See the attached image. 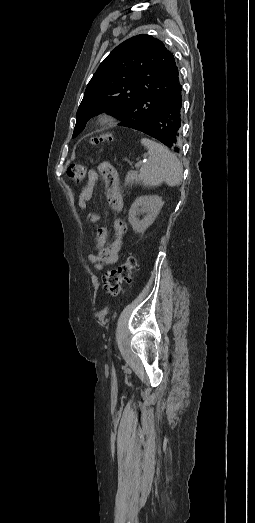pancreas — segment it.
<instances>
[{"instance_id":"obj_1","label":"pancreas","mask_w":255,"mask_h":523,"mask_svg":"<svg viewBox=\"0 0 255 523\" xmlns=\"http://www.w3.org/2000/svg\"><path fill=\"white\" fill-rule=\"evenodd\" d=\"M139 178L137 174H134V172H128L126 178H125V186L127 184H137Z\"/></svg>"}]
</instances>
